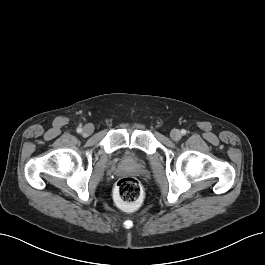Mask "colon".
Wrapping results in <instances>:
<instances>
[{
    "instance_id": "1",
    "label": "colon",
    "mask_w": 265,
    "mask_h": 265,
    "mask_svg": "<svg viewBox=\"0 0 265 265\" xmlns=\"http://www.w3.org/2000/svg\"><path fill=\"white\" fill-rule=\"evenodd\" d=\"M115 196L122 204L133 205L140 201L142 197V187L137 179L133 177H124L116 184Z\"/></svg>"
}]
</instances>
